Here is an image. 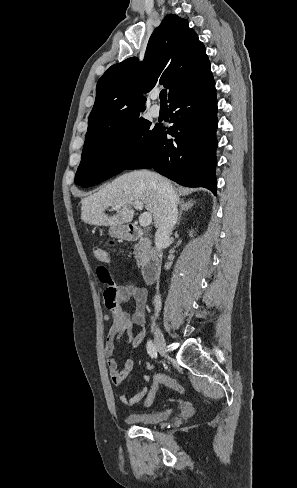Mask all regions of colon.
I'll return each instance as SVG.
<instances>
[{
	"mask_svg": "<svg viewBox=\"0 0 297 488\" xmlns=\"http://www.w3.org/2000/svg\"><path fill=\"white\" fill-rule=\"evenodd\" d=\"M106 255L109 256V254L106 251L100 248L94 249V256L100 262H103L102 259L106 257ZM97 273L100 281L103 284H105V290H104L105 304L107 308H109L114 312V319L116 322L118 316L117 285L114 283L110 275V272L105 266L100 265L97 269ZM152 380L153 382L151 383V389L146 393V399L144 402L146 407H150L152 403L155 401V397L158 395V387H160L162 383L178 393L184 392L183 386L180 385L175 380H172L171 375L167 374L165 370H160L158 374L153 375Z\"/></svg>",
	"mask_w": 297,
	"mask_h": 488,
	"instance_id": "obj_1",
	"label": "colon"
}]
</instances>
